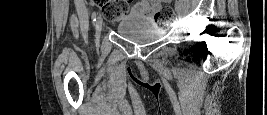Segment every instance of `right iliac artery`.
Instances as JSON below:
<instances>
[{"instance_id":"1","label":"right iliac artery","mask_w":267,"mask_h":115,"mask_svg":"<svg viewBox=\"0 0 267 115\" xmlns=\"http://www.w3.org/2000/svg\"><path fill=\"white\" fill-rule=\"evenodd\" d=\"M96 16H97V13H96V11H94L93 13H92V22H93V24H95V22H96Z\"/></svg>"}]
</instances>
